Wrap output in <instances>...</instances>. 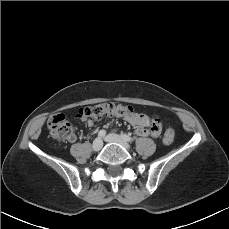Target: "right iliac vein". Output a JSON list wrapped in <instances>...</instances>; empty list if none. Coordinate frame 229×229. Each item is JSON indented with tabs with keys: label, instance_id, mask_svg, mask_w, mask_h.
Wrapping results in <instances>:
<instances>
[{
	"label": "right iliac vein",
	"instance_id": "1",
	"mask_svg": "<svg viewBox=\"0 0 229 229\" xmlns=\"http://www.w3.org/2000/svg\"><path fill=\"white\" fill-rule=\"evenodd\" d=\"M103 146V142L100 138H96L94 141H93V144H92V148L94 151H99Z\"/></svg>",
	"mask_w": 229,
	"mask_h": 229
}]
</instances>
